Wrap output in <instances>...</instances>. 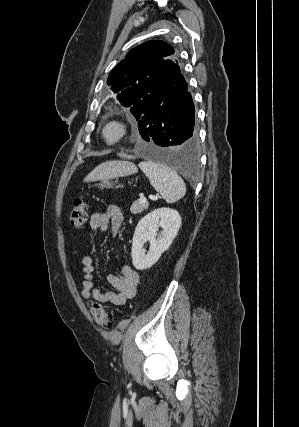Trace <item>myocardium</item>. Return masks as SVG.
Masks as SVG:
<instances>
[{"label":"myocardium","instance_id":"myocardium-1","mask_svg":"<svg viewBox=\"0 0 299 427\" xmlns=\"http://www.w3.org/2000/svg\"><path fill=\"white\" fill-rule=\"evenodd\" d=\"M115 128V136L111 139L107 137L108 128ZM129 133L127 122L120 117H110L106 119L100 127V137L107 145H117L122 142Z\"/></svg>","mask_w":299,"mask_h":427}]
</instances>
